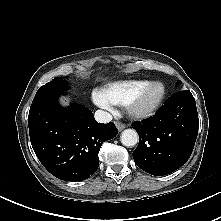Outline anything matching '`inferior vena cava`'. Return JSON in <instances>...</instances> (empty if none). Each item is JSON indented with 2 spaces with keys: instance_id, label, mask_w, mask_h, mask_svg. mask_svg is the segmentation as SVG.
<instances>
[{
  "instance_id": "inferior-vena-cava-1",
  "label": "inferior vena cava",
  "mask_w": 221,
  "mask_h": 221,
  "mask_svg": "<svg viewBox=\"0 0 221 221\" xmlns=\"http://www.w3.org/2000/svg\"><path fill=\"white\" fill-rule=\"evenodd\" d=\"M94 117L99 123H108L112 121V115L103 110H97L94 114Z\"/></svg>"
}]
</instances>
